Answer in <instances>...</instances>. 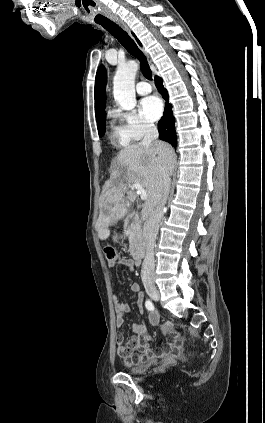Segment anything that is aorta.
<instances>
[{"mask_svg": "<svg viewBox=\"0 0 265 423\" xmlns=\"http://www.w3.org/2000/svg\"><path fill=\"white\" fill-rule=\"evenodd\" d=\"M138 67L133 60L120 64L113 79L114 99L124 110H132L136 106L135 76Z\"/></svg>", "mask_w": 265, "mask_h": 423, "instance_id": "aorta-1", "label": "aorta"}]
</instances>
